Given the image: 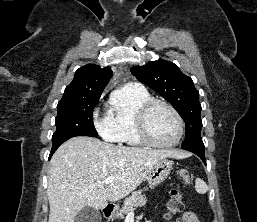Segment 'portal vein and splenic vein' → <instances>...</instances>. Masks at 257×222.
<instances>
[{"label":"portal vein and splenic vein","mask_w":257,"mask_h":222,"mask_svg":"<svg viewBox=\"0 0 257 222\" xmlns=\"http://www.w3.org/2000/svg\"><path fill=\"white\" fill-rule=\"evenodd\" d=\"M113 180H114V177H107V178L104 180V183H105V184H109V183H111Z\"/></svg>","instance_id":"portal-vein-and-splenic-vein-1"}]
</instances>
